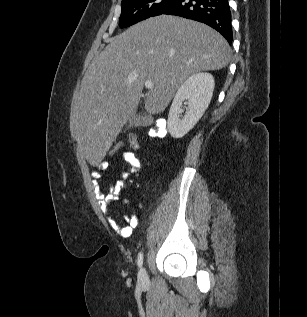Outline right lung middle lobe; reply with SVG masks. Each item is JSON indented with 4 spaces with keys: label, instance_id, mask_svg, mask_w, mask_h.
Masks as SVG:
<instances>
[{
    "label": "right lung middle lobe",
    "instance_id": "dd1d6c3e",
    "mask_svg": "<svg viewBox=\"0 0 307 317\" xmlns=\"http://www.w3.org/2000/svg\"><path fill=\"white\" fill-rule=\"evenodd\" d=\"M175 0H122L119 18L121 28L131 26L152 16L161 15Z\"/></svg>",
    "mask_w": 307,
    "mask_h": 317
}]
</instances>
